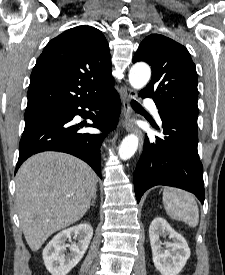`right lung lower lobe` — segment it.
<instances>
[{"label":"right lung lower lobe","instance_id":"1","mask_svg":"<svg viewBox=\"0 0 225 275\" xmlns=\"http://www.w3.org/2000/svg\"><path fill=\"white\" fill-rule=\"evenodd\" d=\"M85 108L96 111L91 113L94 127L103 132L112 130L118 123L121 105L113 87L100 96L80 103H65L33 112L25 113V128L19 145V159L15 172L31 155L43 151H60L74 155L86 163L101 177L100 146L104 134L80 133L84 126L73 124L75 115H86Z\"/></svg>","mask_w":225,"mask_h":275}]
</instances>
